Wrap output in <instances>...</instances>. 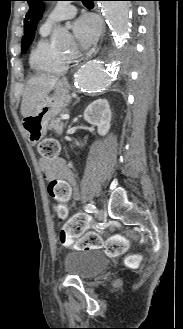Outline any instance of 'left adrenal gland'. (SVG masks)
Listing matches in <instances>:
<instances>
[{"instance_id": "left-adrenal-gland-1", "label": "left adrenal gland", "mask_w": 183, "mask_h": 329, "mask_svg": "<svg viewBox=\"0 0 183 329\" xmlns=\"http://www.w3.org/2000/svg\"><path fill=\"white\" fill-rule=\"evenodd\" d=\"M78 101H79V98H77V101L74 104H76Z\"/></svg>"}]
</instances>
